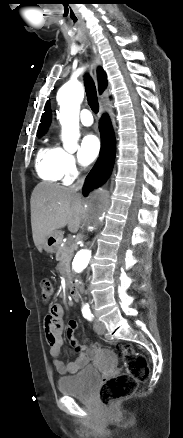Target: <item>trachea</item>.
Returning a JSON list of instances; mask_svg holds the SVG:
<instances>
[{"label":"trachea","mask_w":183,"mask_h":438,"mask_svg":"<svg viewBox=\"0 0 183 438\" xmlns=\"http://www.w3.org/2000/svg\"><path fill=\"white\" fill-rule=\"evenodd\" d=\"M84 85L87 96V101L94 113H98L99 111V103L97 98V91L92 78L86 74L84 77Z\"/></svg>","instance_id":"1"}]
</instances>
